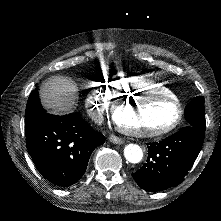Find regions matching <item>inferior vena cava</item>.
<instances>
[{
	"instance_id": "inferior-vena-cava-1",
	"label": "inferior vena cava",
	"mask_w": 221,
	"mask_h": 221,
	"mask_svg": "<svg viewBox=\"0 0 221 221\" xmlns=\"http://www.w3.org/2000/svg\"><path fill=\"white\" fill-rule=\"evenodd\" d=\"M92 120L98 124L101 125L104 121L103 115L100 112H97L95 116L92 117Z\"/></svg>"
}]
</instances>
